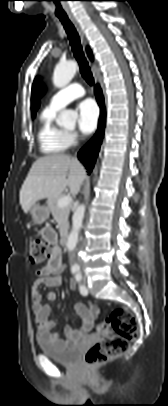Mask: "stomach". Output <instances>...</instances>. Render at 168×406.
Segmentation results:
<instances>
[{"instance_id":"obj_1","label":"stomach","mask_w":168,"mask_h":406,"mask_svg":"<svg viewBox=\"0 0 168 406\" xmlns=\"http://www.w3.org/2000/svg\"><path fill=\"white\" fill-rule=\"evenodd\" d=\"M29 214L33 223L42 224L49 218L50 210L44 205L34 204L29 210Z\"/></svg>"}]
</instances>
